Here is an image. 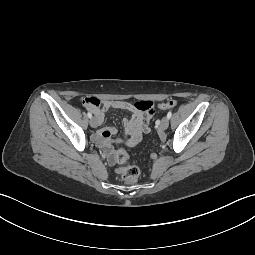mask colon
Wrapping results in <instances>:
<instances>
[{"label":"colon","mask_w":255,"mask_h":255,"mask_svg":"<svg viewBox=\"0 0 255 255\" xmlns=\"http://www.w3.org/2000/svg\"><path fill=\"white\" fill-rule=\"evenodd\" d=\"M85 105H94L96 101L93 98H86L84 101ZM177 102L175 100H168L160 104V108H172L176 106ZM116 163L119 165L117 168V172L121 175L123 180L127 184H133L137 181L140 170L134 164H128L129 155L128 153L121 149L115 154Z\"/></svg>","instance_id":"colon-1"}]
</instances>
